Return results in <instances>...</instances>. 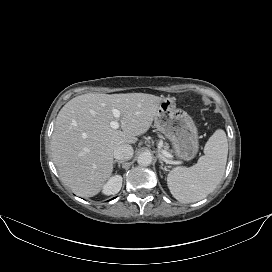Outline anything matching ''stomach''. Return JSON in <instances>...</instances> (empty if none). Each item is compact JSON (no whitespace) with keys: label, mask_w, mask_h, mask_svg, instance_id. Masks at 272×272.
I'll return each mask as SVG.
<instances>
[{"label":"stomach","mask_w":272,"mask_h":272,"mask_svg":"<svg viewBox=\"0 0 272 272\" xmlns=\"http://www.w3.org/2000/svg\"><path fill=\"white\" fill-rule=\"evenodd\" d=\"M154 125L172 142L175 155L182 160H191L198 152V131L192 118L176 107L175 99H163L154 117Z\"/></svg>","instance_id":"1"}]
</instances>
